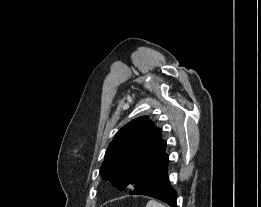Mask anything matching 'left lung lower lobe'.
Listing matches in <instances>:
<instances>
[{
	"instance_id": "1",
	"label": "left lung lower lobe",
	"mask_w": 261,
	"mask_h": 207,
	"mask_svg": "<svg viewBox=\"0 0 261 207\" xmlns=\"http://www.w3.org/2000/svg\"><path fill=\"white\" fill-rule=\"evenodd\" d=\"M130 194L149 196L165 202L170 207H177L176 191L170 185L167 169L136 186Z\"/></svg>"
}]
</instances>
